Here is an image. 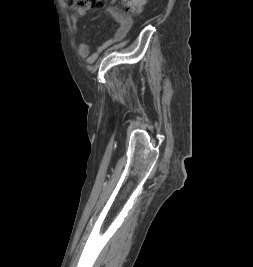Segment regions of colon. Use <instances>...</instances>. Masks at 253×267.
I'll return each instance as SVG.
<instances>
[{
  "label": "colon",
  "mask_w": 253,
  "mask_h": 267,
  "mask_svg": "<svg viewBox=\"0 0 253 267\" xmlns=\"http://www.w3.org/2000/svg\"><path fill=\"white\" fill-rule=\"evenodd\" d=\"M102 0H65V4L74 9L87 10L98 7ZM124 11L128 15L139 14L144 5L145 0H122Z\"/></svg>",
  "instance_id": "5ec220e1"
}]
</instances>
